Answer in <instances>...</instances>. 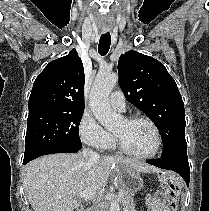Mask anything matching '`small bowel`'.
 I'll use <instances>...</instances> for the list:
<instances>
[{
    "label": "small bowel",
    "instance_id": "small-bowel-1",
    "mask_svg": "<svg viewBox=\"0 0 209 211\" xmlns=\"http://www.w3.org/2000/svg\"><path fill=\"white\" fill-rule=\"evenodd\" d=\"M146 206L148 211H170L166 204V194L162 191L149 196L146 199Z\"/></svg>",
    "mask_w": 209,
    "mask_h": 211
}]
</instances>
